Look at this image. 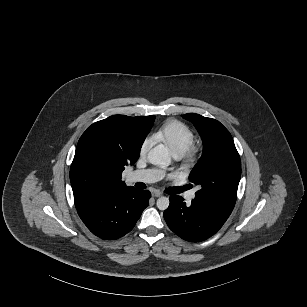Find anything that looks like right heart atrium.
<instances>
[{"mask_svg":"<svg viewBox=\"0 0 307 307\" xmlns=\"http://www.w3.org/2000/svg\"><path fill=\"white\" fill-rule=\"evenodd\" d=\"M153 143H154L153 139L151 138L145 139L141 145L140 153L145 154L150 149V147L153 145Z\"/></svg>","mask_w":307,"mask_h":307,"instance_id":"1","label":"right heart atrium"}]
</instances>
